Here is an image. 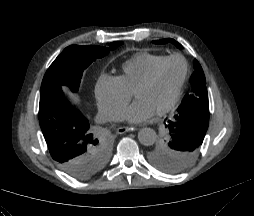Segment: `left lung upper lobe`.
<instances>
[{"label":"left lung upper lobe","instance_id":"1","mask_svg":"<svg viewBox=\"0 0 254 216\" xmlns=\"http://www.w3.org/2000/svg\"><path fill=\"white\" fill-rule=\"evenodd\" d=\"M173 43V39L153 41L154 44ZM195 72L191 76V92L186 94L178 108V114L165 124L167 136L148 152L149 161L159 170L176 174L187 169L196 159L209 124V102L204 72L194 60Z\"/></svg>","mask_w":254,"mask_h":216}]
</instances>
